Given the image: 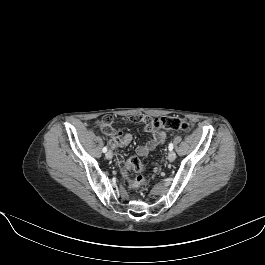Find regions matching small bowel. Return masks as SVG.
<instances>
[{"instance_id": "obj_1", "label": "small bowel", "mask_w": 265, "mask_h": 265, "mask_svg": "<svg viewBox=\"0 0 265 265\" xmlns=\"http://www.w3.org/2000/svg\"><path fill=\"white\" fill-rule=\"evenodd\" d=\"M132 122L141 123L143 131L149 135L148 141L137 147L136 153L139 156H146L149 152L154 150L157 146L163 144L166 140V133L160 129H157L153 126L152 121L149 118H146L141 115H134L130 118ZM102 132L105 135L110 136L111 143L114 148H123L128 146L132 141V136L129 133H125L122 131H115L110 127L109 129H104L102 127ZM117 164L121 169V174L126 177L127 170L124 166V159L121 153L117 154L116 157Z\"/></svg>"}]
</instances>
